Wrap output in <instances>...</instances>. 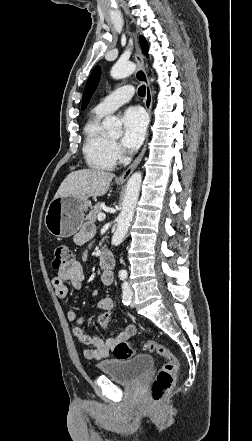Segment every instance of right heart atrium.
Returning a JSON list of instances; mask_svg holds the SVG:
<instances>
[{
	"mask_svg": "<svg viewBox=\"0 0 252 441\" xmlns=\"http://www.w3.org/2000/svg\"><path fill=\"white\" fill-rule=\"evenodd\" d=\"M112 148H113V152L114 155L117 159H121L122 158V149L120 148V146L117 143H112Z\"/></svg>",
	"mask_w": 252,
	"mask_h": 441,
	"instance_id": "1",
	"label": "right heart atrium"
}]
</instances>
